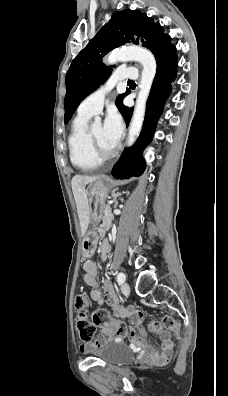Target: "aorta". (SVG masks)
<instances>
[{"label":"aorta","mask_w":228,"mask_h":396,"mask_svg":"<svg viewBox=\"0 0 228 396\" xmlns=\"http://www.w3.org/2000/svg\"><path fill=\"white\" fill-rule=\"evenodd\" d=\"M125 61H136L143 66L139 92L128 131L127 146H131L136 141L142 129L146 102L156 75L157 65L154 55L149 50L139 46H129L115 50L107 56L105 63L112 65ZM95 122L99 123L100 119L96 118Z\"/></svg>","instance_id":"aorta-1"}]
</instances>
